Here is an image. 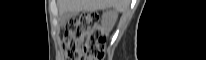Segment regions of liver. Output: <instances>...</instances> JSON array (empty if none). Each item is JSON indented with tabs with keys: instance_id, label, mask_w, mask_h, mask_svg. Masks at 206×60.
I'll return each mask as SVG.
<instances>
[{
	"instance_id": "1",
	"label": "liver",
	"mask_w": 206,
	"mask_h": 60,
	"mask_svg": "<svg viewBox=\"0 0 206 60\" xmlns=\"http://www.w3.org/2000/svg\"><path fill=\"white\" fill-rule=\"evenodd\" d=\"M60 14L63 15L67 12H80V11H96L113 8L117 12L124 10L126 0H59ZM116 19L113 20L110 27L113 26Z\"/></svg>"
}]
</instances>
